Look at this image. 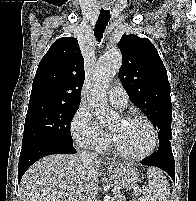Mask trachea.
Wrapping results in <instances>:
<instances>
[{
	"label": "trachea",
	"instance_id": "trachea-1",
	"mask_svg": "<svg viewBox=\"0 0 196 201\" xmlns=\"http://www.w3.org/2000/svg\"><path fill=\"white\" fill-rule=\"evenodd\" d=\"M110 20V11L101 9L98 20L95 25L94 34L97 38V41L100 42L103 38V33L105 31V28Z\"/></svg>",
	"mask_w": 196,
	"mask_h": 201
}]
</instances>
